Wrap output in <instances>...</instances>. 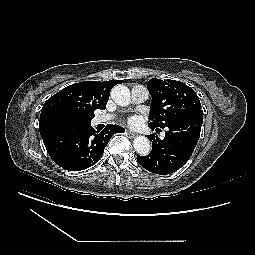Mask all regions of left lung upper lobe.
Here are the masks:
<instances>
[{"mask_svg": "<svg viewBox=\"0 0 255 255\" xmlns=\"http://www.w3.org/2000/svg\"><path fill=\"white\" fill-rule=\"evenodd\" d=\"M147 88L153 99L149 119L155 127L164 129L171 123L203 114L199 97L183 82L153 78Z\"/></svg>", "mask_w": 255, "mask_h": 255, "instance_id": "1", "label": "left lung upper lobe"}]
</instances>
